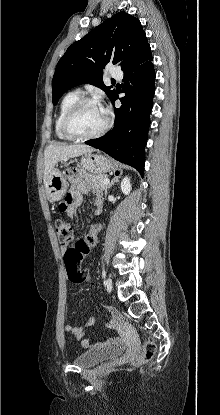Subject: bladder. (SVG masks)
Wrapping results in <instances>:
<instances>
[{
    "instance_id": "1",
    "label": "bladder",
    "mask_w": 220,
    "mask_h": 415,
    "mask_svg": "<svg viewBox=\"0 0 220 415\" xmlns=\"http://www.w3.org/2000/svg\"><path fill=\"white\" fill-rule=\"evenodd\" d=\"M124 349L122 347L113 346L103 349H91L80 353L73 363L81 368H91L105 361L113 360L120 357Z\"/></svg>"
}]
</instances>
